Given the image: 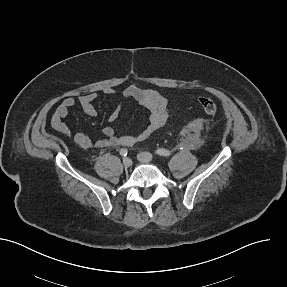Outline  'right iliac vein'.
I'll use <instances>...</instances> for the list:
<instances>
[{"instance_id": "obj_1", "label": "right iliac vein", "mask_w": 287, "mask_h": 287, "mask_svg": "<svg viewBox=\"0 0 287 287\" xmlns=\"http://www.w3.org/2000/svg\"><path fill=\"white\" fill-rule=\"evenodd\" d=\"M123 165L125 168H129L132 165V160L128 157L124 158Z\"/></svg>"}]
</instances>
